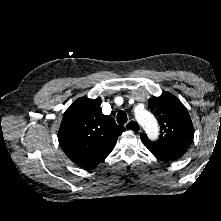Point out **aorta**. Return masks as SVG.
<instances>
[{
    "mask_svg": "<svg viewBox=\"0 0 221 221\" xmlns=\"http://www.w3.org/2000/svg\"><path fill=\"white\" fill-rule=\"evenodd\" d=\"M135 117L151 139L158 136V124L152 113L145 109L135 110Z\"/></svg>",
    "mask_w": 221,
    "mask_h": 221,
    "instance_id": "aorta-1",
    "label": "aorta"
}]
</instances>
